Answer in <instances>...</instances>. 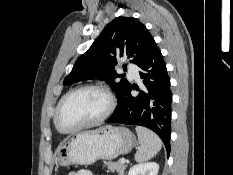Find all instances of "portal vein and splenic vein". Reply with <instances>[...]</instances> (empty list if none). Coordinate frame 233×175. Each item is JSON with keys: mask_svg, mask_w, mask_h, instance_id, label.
<instances>
[{"mask_svg": "<svg viewBox=\"0 0 233 175\" xmlns=\"http://www.w3.org/2000/svg\"><path fill=\"white\" fill-rule=\"evenodd\" d=\"M125 162H126V160H125L124 158H121V159H120V163H121V164H125Z\"/></svg>", "mask_w": 233, "mask_h": 175, "instance_id": "18ae733b", "label": "portal vein and splenic vein"}]
</instances>
